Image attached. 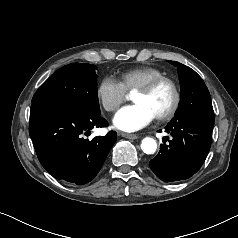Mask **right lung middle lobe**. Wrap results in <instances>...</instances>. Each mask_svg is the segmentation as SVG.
Segmentation results:
<instances>
[{
	"label": "right lung middle lobe",
	"instance_id": "dd1d6c3e",
	"mask_svg": "<svg viewBox=\"0 0 238 238\" xmlns=\"http://www.w3.org/2000/svg\"><path fill=\"white\" fill-rule=\"evenodd\" d=\"M96 66L72 63L57 70L37 90L33 105L70 106L99 113Z\"/></svg>",
	"mask_w": 238,
	"mask_h": 238
}]
</instances>
